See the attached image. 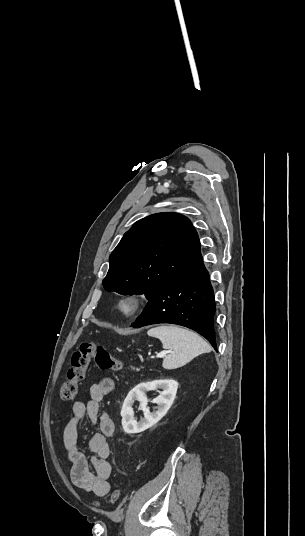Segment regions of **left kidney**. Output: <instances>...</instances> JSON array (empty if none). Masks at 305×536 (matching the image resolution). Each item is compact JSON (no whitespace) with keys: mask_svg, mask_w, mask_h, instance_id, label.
I'll return each mask as SVG.
<instances>
[{"mask_svg":"<svg viewBox=\"0 0 305 536\" xmlns=\"http://www.w3.org/2000/svg\"><path fill=\"white\" fill-rule=\"evenodd\" d=\"M178 386L179 384L175 380H153V382H142V384H138L133 390H130L121 410L124 432L126 434H139V432H144V430H148V428H152L154 424H157L167 414L169 408H171ZM157 388H161L163 392H161L158 398L152 400L153 404H157V410L151 414L149 408H146L149 402L146 392L157 390ZM135 400L140 402L139 410H142L144 414V418H141L140 422H136L132 418L134 416L132 406Z\"/></svg>","mask_w":305,"mask_h":536,"instance_id":"left-kidney-1","label":"left kidney"}]
</instances>
